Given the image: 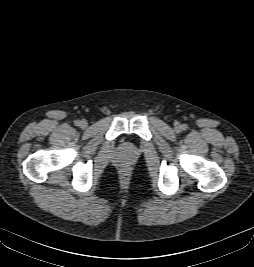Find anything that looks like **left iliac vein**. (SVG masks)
Masks as SVG:
<instances>
[{"instance_id": "4c4485c4", "label": "left iliac vein", "mask_w": 254, "mask_h": 267, "mask_svg": "<svg viewBox=\"0 0 254 267\" xmlns=\"http://www.w3.org/2000/svg\"><path fill=\"white\" fill-rule=\"evenodd\" d=\"M175 130H176V131H179V130H180V127H179V126H176V127H175Z\"/></svg>"}]
</instances>
